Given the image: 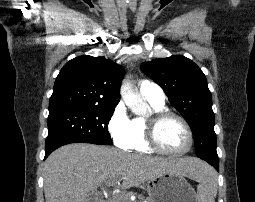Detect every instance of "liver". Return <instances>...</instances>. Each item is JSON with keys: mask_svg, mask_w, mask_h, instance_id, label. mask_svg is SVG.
<instances>
[{"mask_svg": "<svg viewBox=\"0 0 255 202\" xmlns=\"http://www.w3.org/2000/svg\"><path fill=\"white\" fill-rule=\"evenodd\" d=\"M199 164L204 163L192 157H151L100 145L69 144L51 153L44 163L45 200L87 202L90 191L114 179H123L122 189L168 172L197 179Z\"/></svg>", "mask_w": 255, "mask_h": 202, "instance_id": "liver-1", "label": "liver"}]
</instances>
